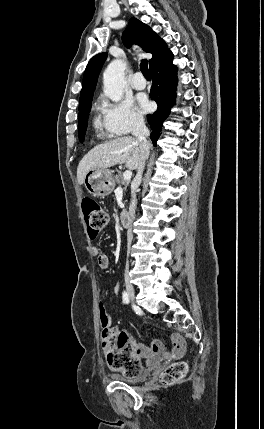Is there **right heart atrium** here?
Masks as SVG:
<instances>
[{"label": "right heart atrium", "mask_w": 264, "mask_h": 429, "mask_svg": "<svg viewBox=\"0 0 264 429\" xmlns=\"http://www.w3.org/2000/svg\"><path fill=\"white\" fill-rule=\"evenodd\" d=\"M97 106L104 128L113 136L130 134L143 125L142 116L129 100L110 101L101 97Z\"/></svg>", "instance_id": "obj_1"}]
</instances>
